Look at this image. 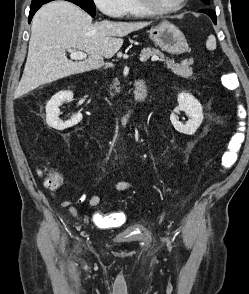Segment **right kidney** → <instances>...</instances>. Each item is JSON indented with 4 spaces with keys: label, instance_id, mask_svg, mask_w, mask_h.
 Returning a JSON list of instances; mask_svg holds the SVG:
<instances>
[{
    "label": "right kidney",
    "instance_id": "obj_1",
    "mask_svg": "<svg viewBox=\"0 0 249 294\" xmlns=\"http://www.w3.org/2000/svg\"><path fill=\"white\" fill-rule=\"evenodd\" d=\"M73 99L71 91H60L56 93L46 105V122L48 126L56 130H64L78 124L82 120V114H75L70 120L62 121L59 119V106L63 101L70 102Z\"/></svg>",
    "mask_w": 249,
    "mask_h": 294
}]
</instances>
